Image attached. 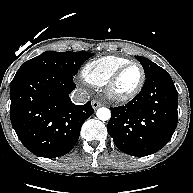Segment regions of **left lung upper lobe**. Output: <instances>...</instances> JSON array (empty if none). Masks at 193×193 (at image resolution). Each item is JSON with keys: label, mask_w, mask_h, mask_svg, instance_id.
Returning <instances> with one entry per match:
<instances>
[{"label": "left lung upper lobe", "mask_w": 193, "mask_h": 193, "mask_svg": "<svg viewBox=\"0 0 193 193\" xmlns=\"http://www.w3.org/2000/svg\"><path fill=\"white\" fill-rule=\"evenodd\" d=\"M136 59L141 63L143 66L144 72H145V77L153 73L159 66L156 65L154 62L151 60L142 57V56H135Z\"/></svg>", "instance_id": "5c2ea615"}]
</instances>
